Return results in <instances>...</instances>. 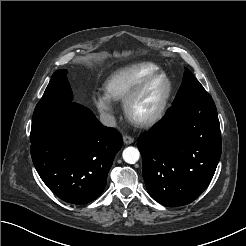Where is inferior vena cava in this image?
Segmentation results:
<instances>
[{"instance_id": "inferior-vena-cava-1", "label": "inferior vena cava", "mask_w": 246, "mask_h": 246, "mask_svg": "<svg viewBox=\"0 0 246 246\" xmlns=\"http://www.w3.org/2000/svg\"><path fill=\"white\" fill-rule=\"evenodd\" d=\"M100 122L104 126H108V127H114L116 125L115 117L107 113H102L100 115Z\"/></svg>"}]
</instances>
